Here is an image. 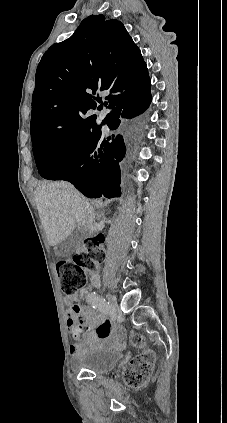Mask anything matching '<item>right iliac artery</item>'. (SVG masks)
Segmentation results:
<instances>
[{"label": "right iliac artery", "mask_w": 227, "mask_h": 423, "mask_svg": "<svg viewBox=\"0 0 227 423\" xmlns=\"http://www.w3.org/2000/svg\"><path fill=\"white\" fill-rule=\"evenodd\" d=\"M86 299L94 309L107 314L111 320V323H116L118 317L115 311L111 308L109 302H106L105 299L101 298L96 292L88 293Z\"/></svg>", "instance_id": "1"}]
</instances>
